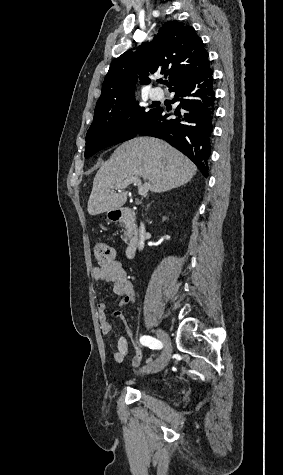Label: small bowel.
Listing matches in <instances>:
<instances>
[{
	"label": "small bowel",
	"instance_id": "obj_1",
	"mask_svg": "<svg viewBox=\"0 0 283 475\" xmlns=\"http://www.w3.org/2000/svg\"><path fill=\"white\" fill-rule=\"evenodd\" d=\"M91 276L96 280L106 281L112 284L113 292L120 298L119 306L123 307L134 301V290L131 281L127 276V272L123 264L119 260H113L107 265L93 266L91 268ZM112 319L114 326L121 324L122 313L116 311ZM97 318L101 333L108 335L112 331L111 323L107 318L106 304L100 302L97 304ZM129 332V331H128ZM132 356L128 340L124 335H118L116 341V350L113 352V359L116 363L121 364ZM143 355L141 349L136 346L135 353L132 356V365L137 370L142 363Z\"/></svg>",
	"mask_w": 283,
	"mask_h": 475
}]
</instances>
